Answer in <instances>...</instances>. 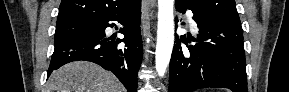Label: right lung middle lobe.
Listing matches in <instances>:
<instances>
[{"label":"right lung middle lobe","instance_id":"obj_1","mask_svg":"<svg viewBox=\"0 0 289 92\" xmlns=\"http://www.w3.org/2000/svg\"><path fill=\"white\" fill-rule=\"evenodd\" d=\"M97 22H70L57 24L55 32V44L67 39L87 34L96 29Z\"/></svg>","mask_w":289,"mask_h":92}]
</instances>
